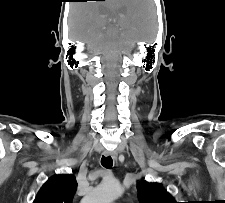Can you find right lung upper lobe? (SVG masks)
Wrapping results in <instances>:
<instances>
[{"label":"right lung upper lobe","mask_w":225,"mask_h":203,"mask_svg":"<svg viewBox=\"0 0 225 203\" xmlns=\"http://www.w3.org/2000/svg\"><path fill=\"white\" fill-rule=\"evenodd\" d=\"M76 189L73 175H55L42 186L33 203H72Z\"/></svg>","instance_id":"right-lung-upper-lobe-1"}]
</instances>
